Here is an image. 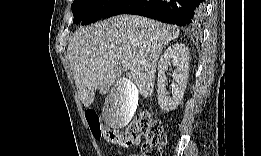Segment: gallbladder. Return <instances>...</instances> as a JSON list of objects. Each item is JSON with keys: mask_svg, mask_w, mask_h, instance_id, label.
I'll list each match as a JSON object with an SVG mask.
<instances>
[{"mask_svg": "<svg viewBox=\"0 0 261 156\" xmlns=\"http://www.w3.org/2000/svg\"><path fill=\"white\" fill-rule=\"evenodd\" d=\"M117 84L106 96L102 117L104 122L112 128L126 127L133 114L138 109V87L128 78L116 80ZM123 101V102H122Z\"/></svg>", "mask_w": 261, "mask_h": 156, "instance_id": "1", "label": "gallbladder"}]
</instances>
